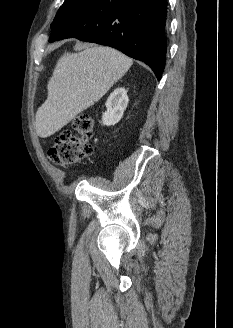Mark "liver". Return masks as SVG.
I'll return each instance as SVG.
<instances>
[{"mask_svg":"<svg viewBox=\"0 0 233 328\" xmlns=\"http://www.w3.org/2000/svg\"><path fill=\"white\" fill-rule=\"evenodd\" d=\"M65 52L50 78L46 101L36 112L35 128L41 138L61 130L79 113L100 100L131 67L133 60L103 46Z\"/></svg>","mask_w":233,"mask_h":328,"instance_id":"liver-1","label":"liver"}]
</instances>
